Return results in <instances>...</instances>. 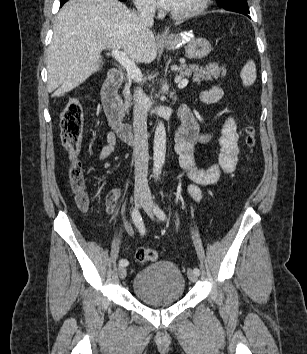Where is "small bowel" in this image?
<instances>
[{
    "mask_svg": "<svg viewBox=\"0 0 307 354\" xmlns=\"http://www.w3.org/2000/svg\"><path fill=\"white\" fill-rule=\"evenodd\" d=\"M223 96V90L218 86H212L200 93V100L206 104H214ZM180 115L183 119L182 126L175 137V150L179 156V162L192 183L187 191L195 201H201V186H208L219 181L222 175L233 172L239 160V143L236 123L233 118H227L222 128L221 153L219 161L207 168L197 167L194 163L193 149L196 143L206 142L210 135L201 130L195 116L186 108H181ZM117 135L111 129L106 135V143L101 148L98 159L106 160L115 150ZM123 199V191L119 188L111 190L106 198V208L112 212Z\"/></svg>",
    "mask_w": 307,
    "mask_h": 354,
    "instance_id": "1",
    "label": "small bowel"
}]
</instances>
